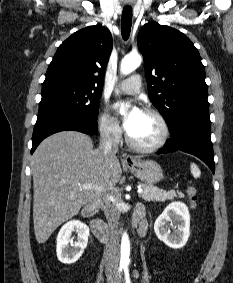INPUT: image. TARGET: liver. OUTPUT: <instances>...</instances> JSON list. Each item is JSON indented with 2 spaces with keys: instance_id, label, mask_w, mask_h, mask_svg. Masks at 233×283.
I'll list each match as a JSON object with an SVG mask.
<instances>
[{
  "instance_id": "liver-1",
  "label": "liver",
  "mask_w": 233,
  "mask_h": 283,
  "mask_svg": "<svg viewBox=\"0 0 233 283\" xmlns=\"http://www.w3.org/2000/svg\"><path fill=\"white\" fill-rule=\"evenodd\" d=\"M34 188L33 222L42 244L55 229L76 216L100 190L80 188L91 183L112 189L122 169L115 155L94 150L91 138L77 131L55 133L41 142L32 157Z\"/></svg>"
}]
</instances>
